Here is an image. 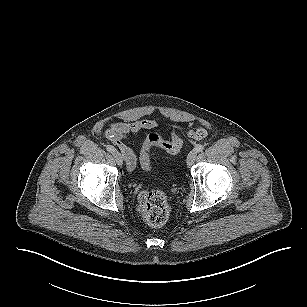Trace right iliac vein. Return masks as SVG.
<instances>
[{"label": "right iliac vein", "mask_w": 307, "mask_h": 307, "mask_svg": "<svg viewBox=\"0 0 307 307\" xmlns=\"http://www.w3.org/2000/svg\"><path fill=\"white\" fill-rule=\"evenodd\" d=\"M113 156H114L117 164L119 166H122V164H123V156H122V154L120 152H118V151H114L113 152Z\"/></svg>", "instance_id": "right-iliac-vein-1"}]
</instances>
